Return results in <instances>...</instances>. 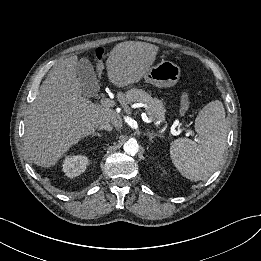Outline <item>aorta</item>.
<instances>
[{
  "instance_id": "1",
  "label": "aorta",
  "mask_w": 261,
  "mask_h": 261,
  "mask_svg": "<svg viewBox=\"0 0 261 261\" xmlns=\"http://www.w3.org/2000/svg\"><path fill=\"white\" fill-rule=\"evenodd\" d=\"M123 149L126 154L133 156V155L137 154V152L139 150V145L136 140L129 139L127 142H125Z\"/></svg>"
}]
</instances>
